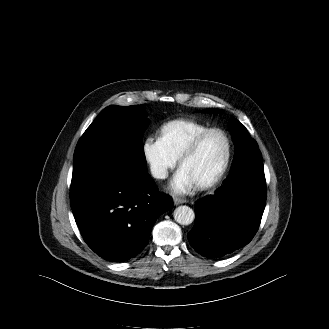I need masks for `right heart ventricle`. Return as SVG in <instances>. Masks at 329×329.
Segmentation results:
<instances>
[{
	"label": "right heart ventricle",
	"mask_w": 329,
	"mask_h": 329,
	"mask_svg": "<svg viewBox=\"0 0 329 329\" xmlns=\"http://www.w3.org/2000/svg\"><path fill=\"white\" fill-rule=\"evenodd\" d=\"M209 129L206 125L188 119H177L165 123L159 131V138L178 159L188 144L201 132Z\"/></svg>",
	"instance_id": "obj_1"
}]
</instances>
